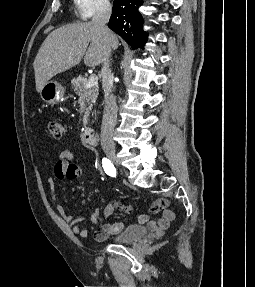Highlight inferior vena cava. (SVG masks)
<instances>
[{"mask_svg":"<svg viewBox=\"0 0 255 287\" xmlns=\"http://www.w3.org/2000/svg\"><path fill=\"white\" fill-rule=\"evenodd\" d=\"M111 16V4L108 0H99L96 4V12L92 18V24H97L101 30L104 40V54L102 58V88L104 90V116L101 128V145L102 147H114L112 140L116 120H117V104L112 94L113 74L111 72V48L109 46V36L113 32L107 28Z\"/></svg>","mask_w":255,"mask_h":287,"instance_id":"1","label":"inferior vena cava"}]
</instances>
